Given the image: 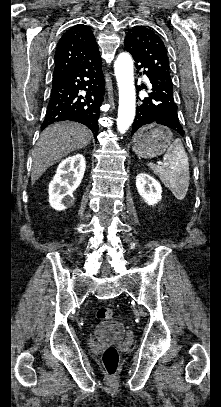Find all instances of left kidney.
I'll list each match as a JSON object with an SVG mask.
<instances>
[{"label":"left kidney","mask_w":221,"mask_h":407,"mask_svg":"<svg viewBox=\"0 0 221 407\" xmlns=\"http://www.w3.org/2000/svg\"><path fill=\"white\" fill-rule=\"evenodd\" d=\"M136 188L139 195L148 205L157 204L162 198L161 185L158 181L146 173H140L137 175Z\"/></svg>","instance_id":"5707ae66"}]
</instances>
